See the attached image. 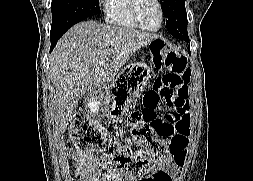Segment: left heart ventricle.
Here are the masks:
<instances>
[{"instance_id":"1","label":"left heart ventricle","mask_w":253,"mask_h":181,"mask_svg":"<svg viewBox=\"0 0 253 181\" xmlns=\"http://www.w3.org/2000/svg\"><path fill=\"white\" fill-rule=\"evenodd\" d=\"M139 17L148 28H156L160 23V11L154 0H141L139 5Z\"/></svg>"}]
</instances>
